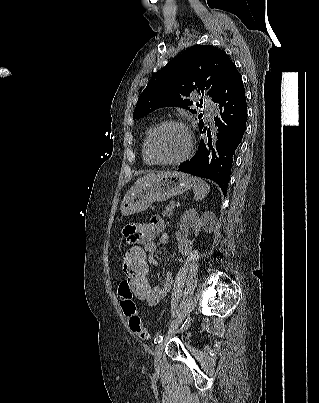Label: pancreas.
<instances>
[{"mask_svg": "<svg viewBox=\"0 0 319 403\" xmlns=\"http://www.w3.org/2000/svg\"><path fill=\"white\" fill-rule=\"evenodd\" d=\"M174 208L175 206L170 203V205H167L165 210L162 211V216L170 218L173 214Z\"/></svg>", "mask_w": 319, "mask_h": 403, "instance_id": "pancreas-1", "label": "pancreas"}]
</instances>
